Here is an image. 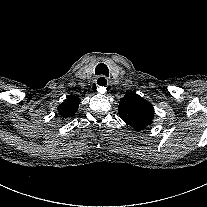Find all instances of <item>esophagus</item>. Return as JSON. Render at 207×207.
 <instances>
[{"instance_id":"1","label":"esophagus","mask_w":207,"mask_h":207,"mask_svg":"<svg viewBox=\"0 0 207 207\" xmlns=\"http://www.w3.org/2000/svg\"><path fill=\"white\" fill-rule=\"evenodd\" d=\"M108 83L109 81L105 76L96 78V87L98 89H104V91H106L105 88L109 85Z\"/></svg>"}]
</instances>
